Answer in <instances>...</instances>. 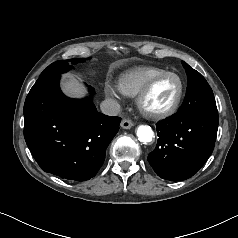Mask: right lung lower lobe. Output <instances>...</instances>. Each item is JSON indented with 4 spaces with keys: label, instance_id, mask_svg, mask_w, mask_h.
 Masks as SVG:
<instances>
[{
    "label": "right lung lower lobe",
    "instance_id": "98d812e1",
    "mask_svg": "<svg viewBox=\"0 0 238 238\" xmlns=\"http://www.w3.org/2000/svg\"><path fill=\"white\" fill-rule=\"evenodd\" d=\"M60 75L41 77L24 104V137L45 171L64 179L95 176L121 118L99 113L90 98L71 99L59 87Z\"/></svg>",
    "mask_w": 238,
    "mask_h": 238
}]
</instances>
